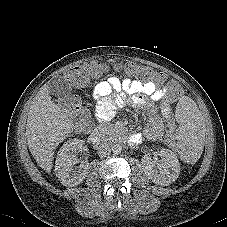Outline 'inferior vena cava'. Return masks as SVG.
<instances>
[{
  "instance_id": "inferior-vena-cava-1",
  "label": "inferior vena cava",
  "mask_w": 227,
  "mask_h": 227,
  "mask_svg": "<svg viewBox=\"0 0 227 227\" xmlns=\"http://www.w3.org/2000/svg\"><path fill=\"white\" fill-rule=\"evenodd\" d=\"M110 153H111V147L109 144L107 143L100 144V146L98 147V155L100 157H106L110 155Z\"/></svg>"
}]
</instances>
